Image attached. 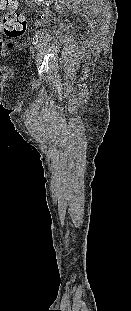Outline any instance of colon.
I'll return each mask as SVG.
<instances>
[{
    "instance_id": "colon-1",
    "label": "colon",
    "mask_w": 131,
    "mask_h": 311,
    "mask_svg": "<svg viewBox=\"0 0 131 311\" xmlns=\"http://www.w3.org/2000/svg\"><path fill=\"white\" fill-rule=\"evenodd\" d=\"M0 10H7L0 20V31L8 39L21 36L26 29V19L22 11L18 9L17 0H0ZM0 47L12 48L10 40L0 39Z\"/></svg>"
}]
</instances>
